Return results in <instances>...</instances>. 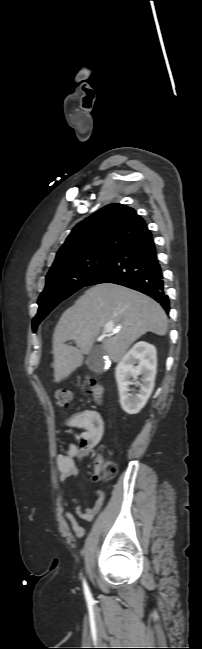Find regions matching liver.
Masks as SVG:
<instances>
[{
  "mask_svg": "<svg viewBox=\"0 0 202 649\" xmlns=\"http://www.w3.org/2000/svg\"><path fill=\"white\" fill-rule=\"evenodd\" d=\"M112 326L102 341L103 352L118 362L141 335L164 336L167 316L151 297L113 283L88 289L61 315L53 334L54 380L59 383L82 365L83 355L93 348L101 328ZM73 340L76 347L67 345Z\"/></svg>",
  "mask_w": 202,
  "mask_h": 649,
  "instance_id": "obj_1",
  "label": "liver"
}]
</instances>
